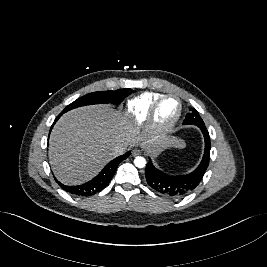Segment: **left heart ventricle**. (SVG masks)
Segmentation results:
<instances>
[{
    "instance_id": "obj_1",
    "label": "left heart ventricle",
    "mask_w": 267,
    "mask_h": 267,
    "mask_svg": "<svg viewBox=\"0 0 267 267\" xmlns=\"http://www.w3.org/2000/svg\"><path fill=\"white\" fill-rule=\"evenodd\" d=\"M179 109L178 101L175 98L164 100L156 115V121L161 126H166L171 123L176 117Z\"/></svg>"
}]
</instances>
